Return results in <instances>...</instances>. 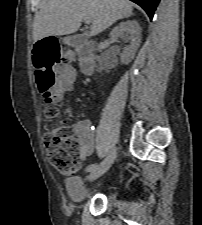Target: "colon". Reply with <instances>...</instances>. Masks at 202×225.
I'll list each match as a JSON object with an SVG mask.
<instances>
[{"label":"colon","instance_id":"colon-1","mask_svg":"<svg viewBox=\"0 0 202 225\" xmlns=\"http://www.w3.org/2000/svg\"><path fill=\"white\" fill-rule=\"evenodd\" d=\"M32 52L35 57L36 83L46 105L44 114L47 118H55L61 113L58 105L64 95V90L60 86H54V80L63 76L60 72L55 73L52 68L66 65L71 55L67 50L60 48V40L57 37L38 40ZM45 146L49 162L57 171L74 173L79 169V145L69 126L63 125L47 134Z\"/></svg>","mask_w":202,"mask_h":225}]
</instances>
